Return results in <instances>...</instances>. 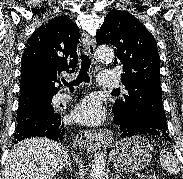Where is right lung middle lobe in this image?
Segmentation results:
<instances>
[{"instance_id":"right-lung-middle-lobe-1","label":"right lung middle lobe","mask_w":183,"mask_h":179,"mask_svg":"<svg viewBox=\"0 0 183 179\" xmlns=\"http://www.w3.org/2000/svg\"><path fill=\"white\" fill-rule=\"evenodd\" d=\"M54 94H30L19 97L17 119L19 122L28 116V113L35 108H42L47 111H54L51 105Z\"/></svg>"}]
</instances>
